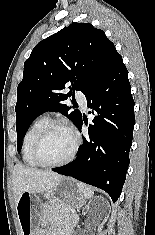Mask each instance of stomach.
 Listing matches in <instances>:
<instances>
[{"label": "stomach", "instance_id": "0dacf381", "mask_svg": "<svg viewBox=\"0 0 155 235\" xmlns=\"http://www.w3.org/2000/svg\"><path fill=\"white\" fill-rule=\"evenodd\" d=\"M78 184L72 178L63 177L51 191L44 194L47 199L45 203L36 193H22L16 204L22 235H45V207L48 205L55 211L60 207L71 210L83 206L86 197Z\"/></svg>", "mask_w": 155, "mask_h": 235}]
</instances>
